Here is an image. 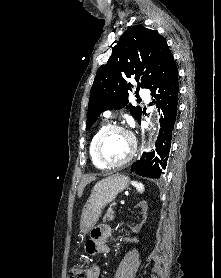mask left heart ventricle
<instances>
[{"label":"left heart ventricle","mask_w":221,"mask_h":278,"mask_svg":"<svg viewBox=\"0 0 221 278\" xmlns=\"http://www.w3.org/2000/svg\"><path fill=\"white\" fill-rule=\"evenodd\" d=\"M131 146V140L126 133L114 131L104 139L101 154L108 163H117L128 156Z\"/></svg>","instance_id":"1"}]
</instances>
